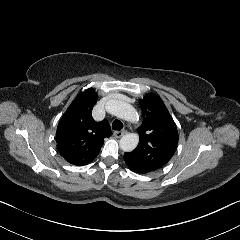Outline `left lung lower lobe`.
I'll list each match as a JSON object with an SVG mask.
<instances>
[{"label":"left lung lower lobe","mask_w":240,"mask_h":240,"mask_svg":"<svg viewBox=\"0 0 240 240\" xmlns=\"http://www.w3.org/2000/svg\"><path fill=\"white\" fill-rule=\"evenodd\" d=\"M132 170V169H131ZM134 172H137V173H142V174H144V173H148V172H144V171H140V170H133Z\"/></svg>","instance_id":"0a47b994"}]
</instances>
